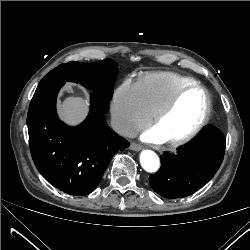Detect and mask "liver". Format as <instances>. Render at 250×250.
Here are the masks:
<instances>
[{
	"label": "liver",
	"instance_id": "1",
	"mask_svg": "<svg viewBox=\"0 0 250 250\" xmlns=\"http://www.w3.org/2000/svg\"><path fill=\"white\" fill-rule=\"evenodd\" d=\"M88 101L79 96H68L59 104V114L69 125H77L84 120L88 113Z\"/></svg>",
	"mask_w": 250,
	"mask_h": 250
}]
</instances>
